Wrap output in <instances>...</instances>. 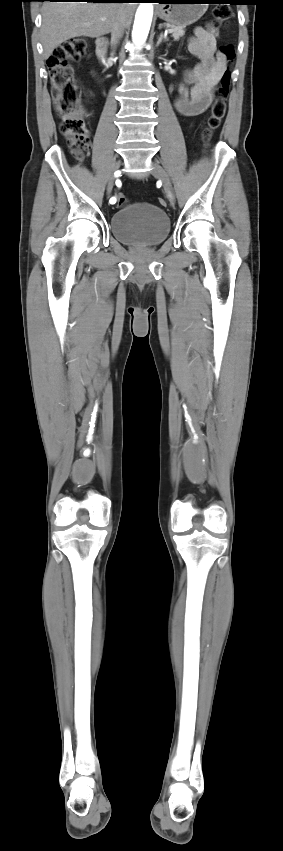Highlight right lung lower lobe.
I'll list each match as a JSON object with an SVG mask.
<instances>
[{
    "label": "right lung lower lobe",
    "instance_id": "98d812e1",
    "mask_svg": "<svg viewBox=\"0 0 283 851\" xmlns=\"http://www.w3.org/2000/svg\"><path fill=\"white\" fill-rule=\"evenodd\" d=\"M42 1H87V2H123V3H131L138 2L139 0H42Z\"/></svg>",
    "mask_w": 283,
    "mask_h": 851
}]
</instances>
